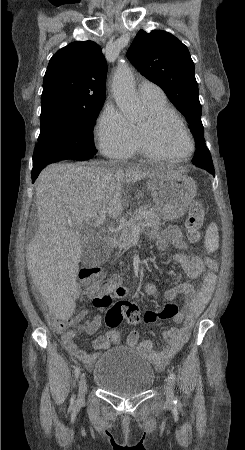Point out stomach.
Masks as SVG:
<instances>
[{
	"label": "stomach",
	"mask_w": 245,
	"mask_h": 450,
	"mask_svg": "<svg viewBox=\"0 0 245 450\" xmlns=\"http://www.w3.org/2000/svg\"><path fill=\"white\" fill-rule=\"evenodd\" d=\"M157 212L164 220H176L189 209L197 194L195 181L179 171L166 170L148 179Z\"/></svg>",
	"instance_id": "stomach-1"
}]
</instances>
